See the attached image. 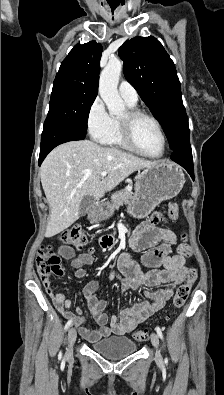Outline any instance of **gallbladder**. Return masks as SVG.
I'll return each mask as SVG.
<instances>
[{
  "label": "gallbladder",
  "mask_w": 224,
  "mask_h": 395,
  "mask_svg": "<svg viewBox=\"0 0 224 395\" xmlns=\"http://www.w3.org/2000/svg\"><path fill=\"white\" fill-rule=\"evenodd\" d=\"M93 203L94 198L91 195L84 196L79 206V215L84 216Z\"/></svg>",
  "instance_id": "bac80fb5"
}]
</instances>
